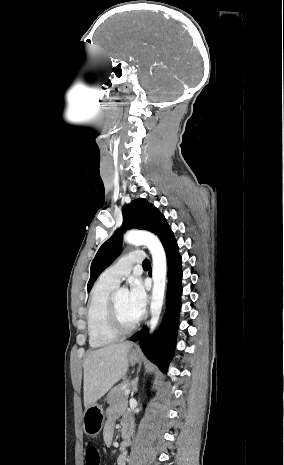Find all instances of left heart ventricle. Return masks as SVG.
Masks as SVG:
<instances>
[{
  "instance_id": "b2bd125f",
  "label": "left heart ventricle",
  "mask_w": 284,
  "mask_h": 465,
  "mask_svg": "<svg viewBox=\"0 0 284 465\" xmlns=\"http://www.w3.org/2000/svg\"><path fill=\"white\" fill-rule=\"evenodd\" d=\"M115 301L119 310L122 321L120 324L123 328H129L135 324L139 316L133 312L128 303V295L120 294L115 297Z\"/></svg>"
}]
</instances>
